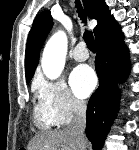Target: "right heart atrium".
<instances>
[{
    "label": "right heart atrium",
    "instance_id": "d8ad5b80",
    "mask_svg": "<svg viewBox=\"0 0 139 150\" xmlns=\"http://www.w3.org/2000/svg\"><path fill=\"white\" fill-rule=\"evenodd\" d=\"M39 99L47 106L57 125L69 123L85 111V103L76 98L63 79L37 83Z\"/></svg>",
    "mask_w": 139,
    "mask_h": 150
}]
</instances>
